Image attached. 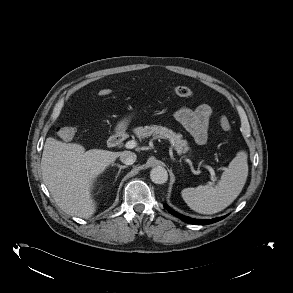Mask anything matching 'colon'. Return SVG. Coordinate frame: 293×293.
Wrapping results in <instances>:
<instances>
[{
	"instance_id": "5ec220e1",
	"label": "colon",
	"mask_w": 293,
	"mask_h": 293,
	"mask_svg": "<svg viewBox=\"0 0 293 293\" xmlns=\"http://www.w3.org/2000/svg\"><path fill=\"white\" fill-rule=\"evenodd\" d=\"M110 89H102L99 91L100 96H106L111 94ZM173 93L179 97H190L193 94V91L186 86H177L173 89ZM219 124L223 131L230 132L231 131V123L226 115H220ZM75 128L72 126H60L57 128V136L63 141H70L75 136Z\"/></svg>"
}]
</instances>
